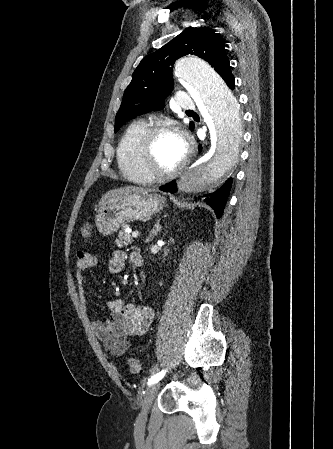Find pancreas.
Instances as JSON below:
<instances>
[{
    "label": "pancreas",
    "instance_id": "obj_1",
    "mask_svg": "<svg viewBox=\"0 0 333 449\" xmlns=\"http://www.w3.org/2000/svg\"><path fill=\"white\" fill-rule=\"evenodd\" d=\"M126 227L127 226H125L123 230L119 232L118 239H116V244L119 247L127 246L132 242L131 234L126 232Z\"/></svg>",
    "mask_w": 333,
    "mask_h": 449
}]
</instances>
